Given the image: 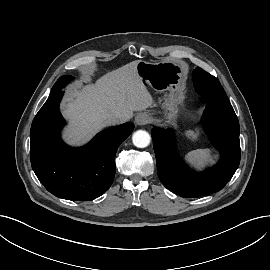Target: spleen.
I'll use <instances>...</instances> for the list:
<instances>
[{"instance_id":"obj_1","label":"spleen","mask_w":270,"mask_h":270,"mask_svg":"<svg viewBox=\"0 0 270 270\" xmlns=\"http://www.w3.org/2000/svg\"><path fill=\"white\" fill-rule=\"evenodd\" d=\"M186 158L191 163H195L199 166L212 163L213 157L210 149H198L186 154Z\"/></svg>"}]
</instances>
